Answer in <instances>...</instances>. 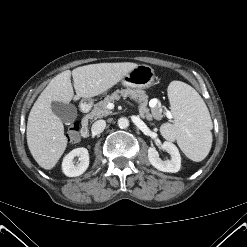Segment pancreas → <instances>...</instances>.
Returning a JSON list of instances; mask_svg holds the SVG:
<instances>
[{
  "instance_id": "cf45deb5",
  "label": "pancreas",
  "mask_w": 247,
  "mask_h": 247,
  "mask_svg": "<svg viewBox=\"0 0 247 247\" xmlns=\"http://www.w3.org/2000/svg\"><path fill=\"white\" fill-rule=\"evenodd\" d=\"M120 97L126 98L130 97L132 100L137 102L139 104L138 109H139V114L142 117H154L156 119H160V112H161V106L160 104L153 109L150 110L147 108L148 104V97L147 95L142 91L138 89H121L117 90L111 95H108L104 98V100L99 101L94 105L93 110L87 114L88 119H98V118H103L107 117L112 113L111 110L107 108V105L110 102H114L115 100H118Z\"/></svg>"
}]
</instances>
